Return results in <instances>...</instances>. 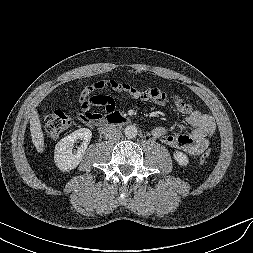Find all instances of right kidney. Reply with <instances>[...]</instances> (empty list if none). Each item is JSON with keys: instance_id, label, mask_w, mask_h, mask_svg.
Segmentation results:
<instances>
[{"instance_id": "right-kidney-1", "label": "right kidney", "mask_w": 253, "mask_h": 253, "mask_svg": "<svg viewBox=\"0 0 253 253\" xmlns=\"http://www.w3.org/2000/svg\"><path fill=\"white\" fill-rule=\"evenodd\" d=\"M92 132L87 128H80L61 139L55 146L54 161L63 172L70 171L78 166L90 143ZM77 139L83 141L78 150L73 151V144Z\"/></svg>"}]
</instances>
